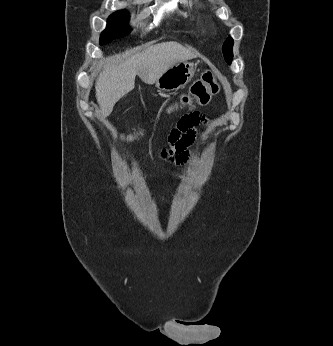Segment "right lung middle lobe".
Here are the masks:
<instances>
[{
  "label": "right lung middle lobe",
  "instance_id": "dd1d6c3e",
  "mask_svg": "<svg viewBox=\"0 0 333 346\" xmlns=\"http://www.w3.org/2000/svg\"><path fill=\"white\" fill-rule=\"evenodd\" d=\"M128 20L129 13L127 11L113 13L108 19L107 28L101 33L100 45L127 35L130 32L127 26Z\"/></svg>",
  "mask_w": 333,
  "mask_h": 346
}]
</instances>
